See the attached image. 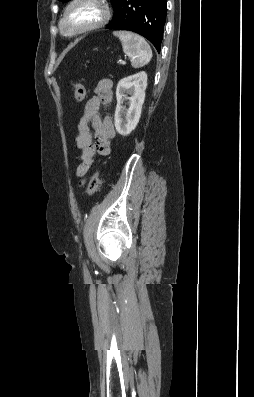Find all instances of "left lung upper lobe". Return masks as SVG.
<instances>
[{"mask_svg":"<svg viewBox=\"0 0 254 397\" xmlns=\"http://www.w3.org/2000/svg\"><path fill=\"white\" fill-rule=\"evenodd\" d=\"M60 1H62V2H68V1H70V0H60ZM111 2L113 1V0H110Z\"/></svg>","mask_w":254,"mask_h":397,"instance_id":"obj_1","label":"left lung upper lobe"}]
</instances>
